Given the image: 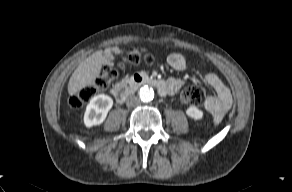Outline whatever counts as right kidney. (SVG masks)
Segmentation results:
<instances>
[{
	"instance_id": "right-kidney-1",
	"label": "right kidney",
	"mask_w": 292,
	"mask_h": 192,
	"mask_svg": "<svg viewBox=\"0 0 292 192\" xmlns=\"http://www.w3.org/2000/svg\"><path fill=\"white\" fill-rule=\"evenodd\" d=\"M112 105L113 100L108 95L99 94L94 96L86 107L84 114L85 126L92 127L103 123Z\"/></svg>"
}]
</instances>
